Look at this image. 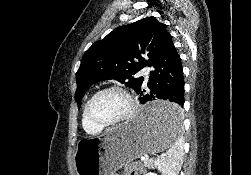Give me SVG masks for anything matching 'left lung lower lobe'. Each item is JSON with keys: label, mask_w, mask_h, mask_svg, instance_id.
Listing matches in <instances>:
<instances>
[{"label": "left lung lower lobe", "mask_w": 251, "mask_h": 175, "mask_svg": "<svg viewBox=\"0 0 251 175\" xmlns=\"http://www.w3.org/2000/svg\"><path fill=\"white\" fill-rule=\"evenodd\" d=\"M151 65L154 70L150 72L147 84L149 90L140 87L136 91L140 94L141 104L157 98L173 104L148 108L141 113L140 119L154 124L177 123L183 115L181 108L184 105V81L181 58L174 47L171 35Z\"/></svg>", "instance_id": "0a47b994"}]
</instances>
